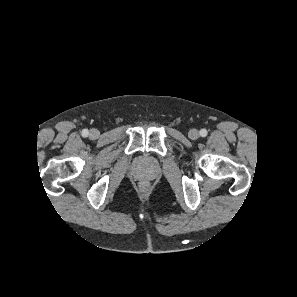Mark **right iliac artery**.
<instances>
[{
	"instance_id": "1",
	"label": "right iliac artery",
	"mask_w": 297,
	"mask_h": 297,
	"mask_svg": "<svg viewBox=\"0 0 297 297\" xmlns=\"http://www.w3.org/2000/svg\"><path fill=\"white\" fill-rule=\"evenodd\" d=\"M88 133H89V131H88L87 129H84V130L82 131V135H83L84 137H86V136L88 135Z\"/></svg>"
}]
</instances>
